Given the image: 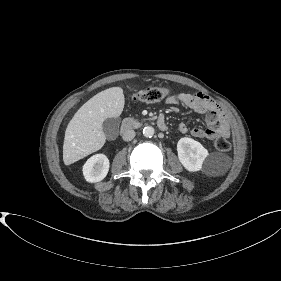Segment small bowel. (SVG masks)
I'll list each match as a JSON object with an SVG mask.
<instances>
[{"label":"small bowel","mask_w":281,"mask_h":281,"mask_svg":"<svg viewBox=\"0 0 281 281\" xmlns=\"http://www.w3.org/2000/svg\"><path fill=\"white\" fill-rule=\"evenodd\" d=\"M171 105L184 104L186 107L198 113H207V128H188L184 123L179 124L180 134L190 133L200 139H213L216 136L229 137L230 128L226 116L218 104L209 96L202 93H177L167 98Z\"/></svg>","instance_id":"small-bowel-1"}]
</instances>
